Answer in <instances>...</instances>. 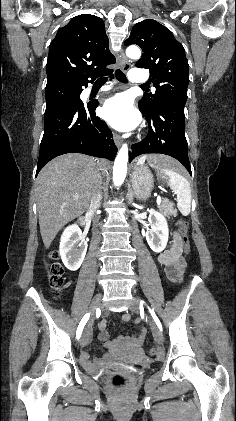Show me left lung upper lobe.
Returning a JSON list of instances; mask_svg holds the SVG:
<instances>
[{
  "mask_svg": "<svg viewBox=\"0 0 236 421\" xmlns=\"http://www.w3.org/2000/svg\"><path fill=\"white\" fill-rule=\"evenodd\" d=\"M124 44L141 47L143 54L136 67L150 70L156 88L139 101L141 111L152 112L167 99L186 102L189 65L183 46L167 28L155 20H143L134 25Z\"/></svg>",
  "mask_w": 236,
  "mask_h": 421,
  "instance_id": "1",
  "label": "left lung upper lobe"
}]
</instances>
